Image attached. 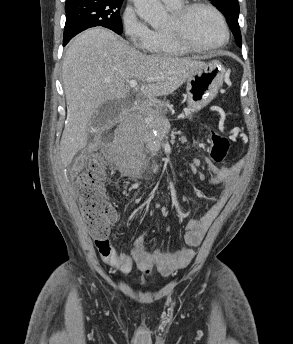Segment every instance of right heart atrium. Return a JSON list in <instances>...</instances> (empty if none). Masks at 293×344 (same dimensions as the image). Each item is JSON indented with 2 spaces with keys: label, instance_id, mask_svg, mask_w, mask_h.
<instances>
[{
  "label": "right heart atrium",
  "instance_id": "right-heart-atrium-1",
  "mask_svg": "<svg viewBox=\"0 0 293 344\" xmlns=\"http://www.w3.org/2000/svg\"><path fill=\"white\" fill-rule=\"evenodd\" d=\"M122 30L137 51H147L153 42L155 31L139 17L136 10L127 6L121 16Z\"/></svg>",
  "mask_w": 293,
  "mask_h": 344
}]
</instances>
